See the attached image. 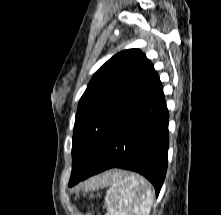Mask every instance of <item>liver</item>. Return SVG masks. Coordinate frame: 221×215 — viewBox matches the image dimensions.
<instances>
[{
  "instance_id": "obj_1",
  "label": "liver",
  "mask_w": 221,
  "mask_h": 215,
  "mask_svg": "<svg viewBox=\"0 0 221 215\" xmlns=\"http://www.w3.org/2000/svg\"><path fill=\"white\" fill-rule=\"evenodd\" d=\"M114 173L115 171H109L99 176H96L88 180L84 184H82V187L88 189V188H99L102 186H106L111 182Z\"/></svg>"
}]
</instances>
